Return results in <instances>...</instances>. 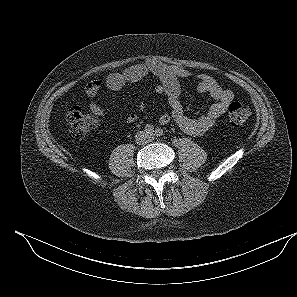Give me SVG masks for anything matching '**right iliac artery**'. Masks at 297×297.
<instances>
[{
	"mask_svg": "<svg viewBox=\"0 0 297 297\" xmlns=\"http://www.w3.org/2000/svg\"><path fill=\"white\" fill-rule=\"evenodd\" d=\"M153 129H154L153 126L147 124V125L145 126L144 131H145L146 134H151V135H152V133H153V131H154Z\"/></svg>",
	"mask_w": 297,
	"mask_h": 297,
	"instance_id": "obj_1",
	"label": "right iliac artery"
}]
</instances>
